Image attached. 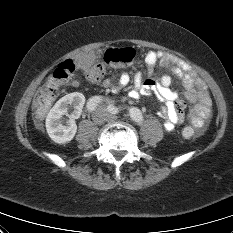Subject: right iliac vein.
Here are the masks:
<instances>
[{"label":"right iliac vein","mask_w":233,"mask_h":233,"mask_svg":"<svg viewBox=\"0 0 233 233\" xmlns=\"http://www.w3.org/2000/svg\"><path fill=\"white\" fill-rule=\"evenodd\" d=\"M94 122L101 124L106 120V114L102 110H98L93 115Z\"/></svg>","instance_id":"1"}]
</instances>
